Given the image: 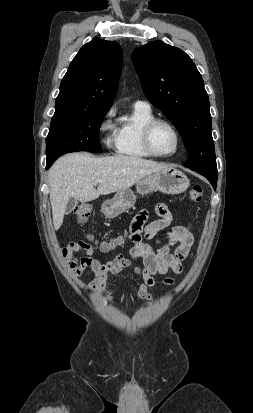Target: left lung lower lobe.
Instances as JSON below:
<instances>
[{"instance_id": "obj_1", "label": "left lung lower lobe", "mask_w": 253, "mask_h": 413, "mask_svg": "<svg viewBox=\"0 0 253 413\" xmlns=\"http://www.w3.org/2000/svg\"><path fill=\"white\" fill-rule=\"evenodd\" d=\"M199 173V172H198ZM202 175H204L212 184L213 188L216 189V183H217V175H213V174H207V173H200Z\"/></svg>"}]
</instances>
